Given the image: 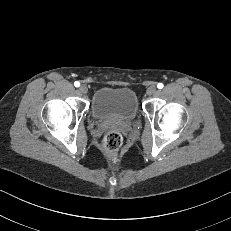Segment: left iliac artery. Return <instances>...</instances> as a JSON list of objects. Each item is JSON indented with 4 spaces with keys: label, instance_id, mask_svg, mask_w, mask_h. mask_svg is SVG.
<instances>
[{
    "label": "left iliac artery",
    "instance_id": "left-iliac-artery-1",
    "mask_svg": "<svg viewBox=\"0 0 231 231\" xmlns=\"http://www.w3.org/2000/svg\"><path fill=\"white\" fill-rule=\"evenodd\" d=\"M157 87H158V89H162L163 88V84L162 83H158Z\"/></svg>",
    "mask_w": 231,
    "mask_h": 231
}]
</instances>
